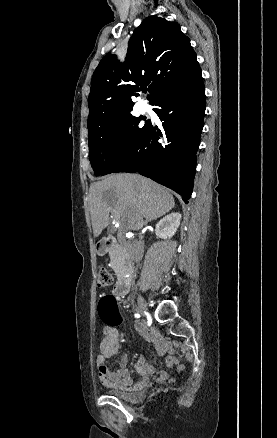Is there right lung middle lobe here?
<instances>
[{
    "mask_svg": "<svg viewBox=\"0 0 277 438\" xmlns=\"http://www.w3.org/2000/svg\"><path fill=\"white\" fill-rule=\"evenodd\" d=\"M132 114L88 126L89 159L95 175H106L126 159L146 131L149 120Z\"/></svg>",
    "mask_w": 277,
    "mask_h": 438,
    "instance_id": "dd1d6c3e",
    "label": "right lung middle lobe"
}]
</instances>
